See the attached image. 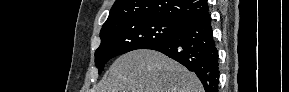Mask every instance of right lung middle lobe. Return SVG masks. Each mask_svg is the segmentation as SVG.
<instances>
[{
	"label": "right lung middle lobe",
	"instance_id": "right-lung-middle-lobe-1",
	"mask_svg": "<svg viewBox=\"0 0 289 92\" xmlns=\"http://www.w3.org/2000/svg\"><path fill=\"white\" fill-rule=\"evenodd\" d=\"M182 26V23L163 18L142 17L122 20L102 28L101 44L95 52L99 73L111 58L166 41L176 35Z\"/></svg>",
	"mask_w": 289,
	"mask_h": 92
}]
</instances>
